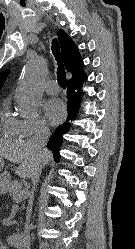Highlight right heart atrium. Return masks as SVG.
Segmentation results:
<instances>
[{
    "label": "right heart atrium",
    "mask_w": 135,
    "mask_h": 249,
    "mask_svg": "<svg viewBox=\"0 0 135 249\" xmlns=\"http://www.w3.org/2000/svg\"><path fill=\"white\" fill-rule=\"evenodd\" d=\"M19 126L21 130V137L23 138H30L48 133L46 123L38 117L19 120Z\"/></svg>",
    "instance_id": "right-heart-atrium-1"
}]
</instances>
